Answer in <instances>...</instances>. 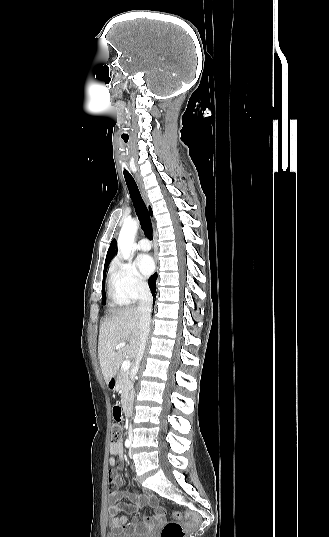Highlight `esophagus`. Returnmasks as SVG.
<instances>
[{
  "label": "esophagus",
  "mask_w": 329,
  "mask_h": 537,
  "mask_svg": "<svg viewBox=\"0 0 329 537\" xmlns=\"http://www.w3.org/2000/svg\"><path fill=\"white\" fill-rule=\"evenodd\" d=\"M135 178H136V181H137V184H138V187H139V190H140V193H141V196H142L144 202L146 204H149L148 194H147V191H146V189L144 187V184L142 182L141 177L139 176V174L136 173Z\"/></svg>",
  "instance_id": "obj_1"
}]
</instances>
